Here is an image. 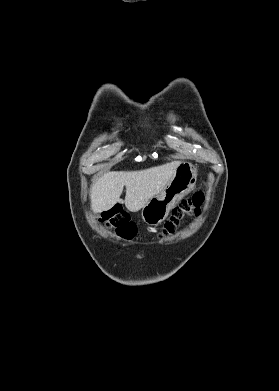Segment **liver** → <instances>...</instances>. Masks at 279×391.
<instances>
[{"instance_id":"liver-1","label":"liver","mask_w":279,"mask_h":391,"mask_svg":"<svg viewBox=\"0 0 279 391\" xmlns=\"http://www.w3.org/2000/svg\"><path fill=\"white\" fill-rule=\"evenodd\" d=\"M181 161L152 167L140 171L107 172L102 175L91 189V208L95 212L107 211L120 201L126 187L125 206L131 212H137L147 202L159 194L172 178Z\"/></svg>"}]
</instances>
